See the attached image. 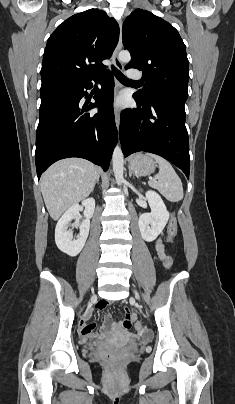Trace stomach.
Returning <instances> with one entry per match:
<instances>
[{"label":"stomach","mask_w":235,"mask_h":404,"mask_svg":"<svg viewBox=\"0 0 235 404\" xmlns=\"http://www.w3.org/2000/svg\"><path fill=\"white\" fill-rule=\"evenodd\" d=\"M155 168L156 164L149 155L138 153L129 159V170L133 171L136 175H150L155 171Z\"/></svg>","instance_id":"0dacf381"}]
</instances>
